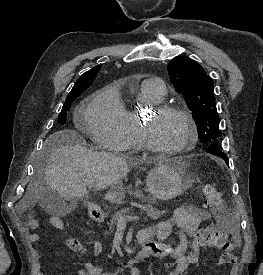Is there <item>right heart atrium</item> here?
I'll return each instance as SVG.
<instances>
[{
    "instance_id": "d8ad5b80",
    "label": "right heart atrium",
    "mask_w": 263,
    "mask_h": 275,
    "mask_svg": "<svg viewBox=\"0 0 263 275\" xmlns=\"http://www.w3.org/2000/svg\"><path fill=\"white\" fill-rule=\"evenodd\" d=\"M86 121L91 136L98 144L113 151L125 149L121 103L114 89H103L93 97L86 111Z\"/></svg>"
}]
</instances>
